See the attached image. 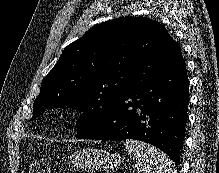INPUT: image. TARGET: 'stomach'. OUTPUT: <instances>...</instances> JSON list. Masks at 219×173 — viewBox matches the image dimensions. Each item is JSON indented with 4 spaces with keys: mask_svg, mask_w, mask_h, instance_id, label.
<instances>
[{
    "mask_svg": "<svg viewBox=\"0 0 219 173\" xmlns=\"http://www.w3.org/2000/svg\"><path fill=\"white\" fill-rule=\"evenodd\" d=\"M69 160L76 168L90 172L116 168L121 163L119 154L95 148L74 151L69 156Z\"/></svg>",
    "mask_w": 219,
    "mask_h": 173,
    "instance_id": "stomach-1",
    "label": "stomach"
}]
</instances>
